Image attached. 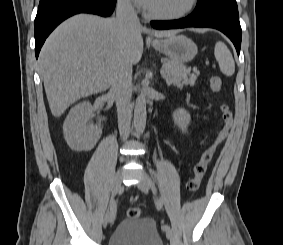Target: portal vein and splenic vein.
Segmentation results:
<instances>
[{
	"instance_id": "portal-vein-and-splenic-vein-1",
	"label": "portal vein and splenic vein",
	"mask_w": 283,
	"mask_h": 245,
	"mask_svg": "<svg viewBox=\"0 0 283 245\" xmlns=\"http://www.w3.org/2000/svg\"><path fill=\"white\" fill-rule=\"evenodd\" d=\"M160 72H161V74H163V72H164V71H163V67H162V69H161V71H160Z\"/></svg>"
}]
</instances>
